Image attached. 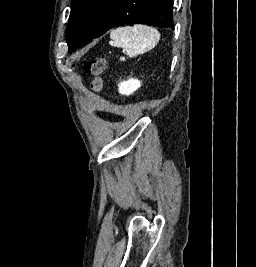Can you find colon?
<instances>
[{
	"mask_svg": "<svg viewBox=\"0 0 256 267\" xmlns=\"http://www.w3.org/2000/svg\"><path fill=\"white\" fill-rule=\"evenodd\" d=\"M108 62L103 57L89 58L84 65L85 72L91 76V90L98 94L103 90L104 73L107 69Z\"/></svg>",
	"mask_w": 256,
	"mask_h": 267,
	"instance_id": "colon-1",
	"label": "colon"
}]
</instances>
